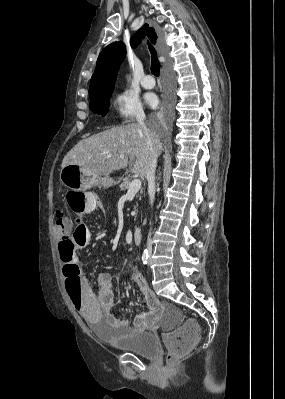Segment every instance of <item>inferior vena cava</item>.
Segmentation results:
<instances>
[{
  "instance_id": "1",
  "label": "inferior vena cava",
  "mask_w": 285,
  "mask_h": 399,
  "mask_svg": "<svg viewBox=\"0 0 285 399\" xmlns=\"http://www.w3.org/2000/svg\"><path fill=\"white\" fill-rule=\"evenodd\" d=\"M145 115H139L137 117L138 124H140L145 129V134L147 137V150H148V160H147V171H146V179L148 181V194L150 204L153 205L155 198V171L157 166V144L158 141L147 132L145 127ZM147 248L149 251L152 250V239L151 232H149L147 239Z\"/></svg>"
}]
</instances>
